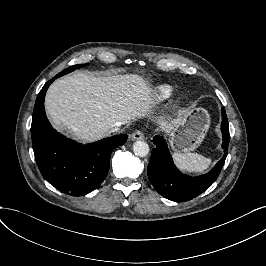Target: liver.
I'll return each mask as SVG.
<instances>
[{
  "label": "liver",
  "mask_w": 266,
  "mask_h": 266,
  "mask_svg": "<svg viewBox=\"0 0 266 266\" xmlns=\"http://www.w3.org/2000/svg\"><path fill=\"white\" fill-rule=\"evenodd\" d=\"M153 89L137 74L95 76L76 73L56 80L45 97L51 121L72 131L77 139L93 142L119 124L151 113ZM183 119L160 120L170 133Z\"/></svg>",
  "instance_id": "liver-1"
}]
</instances>
